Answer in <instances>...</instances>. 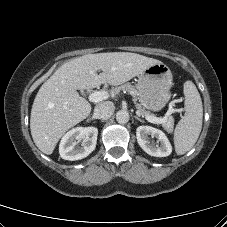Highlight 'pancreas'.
Returning <instances> with one entry per match:
<instances>
[{
	"mask_svg": "<svg viewBox=\"0 0 227 227\" xmlns=\"http://www.w3.org/2000/svg\"><path fill=\"white\" fill-rule=\"evenodd\" d=\"M119 91H124V92H128L129 94H131L134 98L137 97V90L136 88L130 84V83H126L121 85L118 88H115L113 90V92L116 94ZM136 107L138 109V111L141 113L142 116H154V114H150L148 111H146L141 104H136ZM162 127L168 132V133H172L173 131V127H174V119L172 117H169L165 122L161 123Z\"/></svg>",
	"mask_w": 227,
	"mask_h": 227,
	"instance_id": "obj_1",
	"label": "pancreas"
}]
</instances>
